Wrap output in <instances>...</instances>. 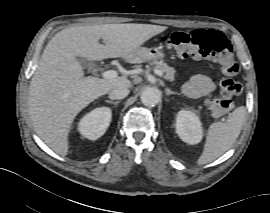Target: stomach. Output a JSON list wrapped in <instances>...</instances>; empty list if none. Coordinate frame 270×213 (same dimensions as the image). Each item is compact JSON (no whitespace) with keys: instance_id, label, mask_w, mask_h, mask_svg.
Returning a JSON list of instances; mask_svg holds the SVG:
<instances>
[{"instance_id":"obj_1","label":"stomach","mask_w":270,"mask_h":213,"mask_svg":"<svg viewBox=\"0 0 270 213\" xmlns=\"http://www.w3.org/2000/svg\"><path fill=\"white\" fill-rule=\"evenodd\" d=\"M165 57L160 48L138 47L130 57V61L134 63H142L150 60H158Z\"/></svg>"}]
</instances>
